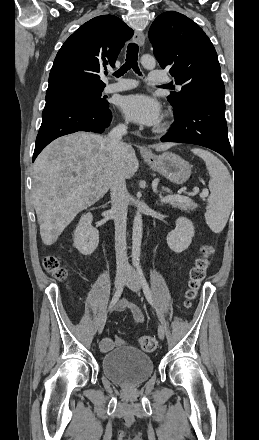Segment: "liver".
I'll list each match as a JSON object with an SVG mask.
<instances>
[{
    "label": "liver",
    "mask_w": 259,
    "mask_h": 440,
    "mask_svg": "<svg viewBox=\"0 0 259 440\" xmlns=\"http://www.w3.org/2000/svg\"><path fill=\"white\" fill-rule=\"evenodd\" d=\"M172 143L155 145L165 151ZM114 154L106 138L77 132L50 143L33 165L32 199L45 245H52L75 216L108 192ZM139 168L135 150L127 145L121 171L125 179Z\"/></svg>",
    "instance_id": "liver-1"
}]
</instances>
